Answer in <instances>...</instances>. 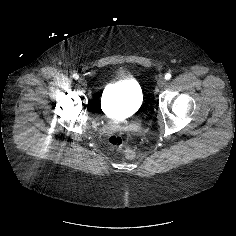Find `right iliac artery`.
I'll use <instances>...</instances> for the list:
<instances>
[{
	"label": "right iliac artery",
	"instance_id": "right-iliac-artery-1",
	"mask_svg": "<svg viewBox=\"0 0 236 236\" xmlns=\"http://www.w3.org/2000/svg\"><path fill=\"white\" fill-rule=\"evenodd\" d=\"M74 79H78L79 78V75L77 73H74L73 76H72Z\"/></svg>",
	"mask_w": 236,
	"mask_h": 236
}]
</instances>
